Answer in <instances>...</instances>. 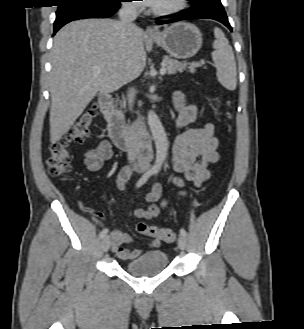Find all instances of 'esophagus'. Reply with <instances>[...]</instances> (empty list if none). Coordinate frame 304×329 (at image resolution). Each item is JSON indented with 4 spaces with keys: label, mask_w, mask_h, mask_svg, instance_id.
Wrapping results in <instances>:
<instances>
[{
    "label": "esophagus",
    "mask_w": 304,
    "mask_h": 329,
    "mask_svg": "<svg viewBox=\"0 0 304 329\" xmlns=\"http://www.w3.org/2000/svg\"><path fill=\"white\" fill-rule=\"evenodd\" d=\"M146 34L149 35V36H153V35L156 34V31L151 26H148L146 28Z\"/></svg>",
    "instance_id": "esophagus-1"
}]
</instances>
